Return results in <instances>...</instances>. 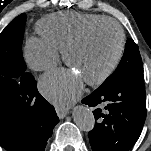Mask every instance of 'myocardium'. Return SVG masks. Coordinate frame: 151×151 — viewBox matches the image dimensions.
Wrapping results in <instances>:
<instances>
[{
    "label": "myocardium",
    "instance_id": "obj_1",
    "mask_svg": "<svg viewBox=\"0 0 151 151\" xmlns=\"http://www.w3.org/2000/svg\"><path fill=\"white\" fill-rule=\"evenodd\" d=\"M103 25H112L116 29L118 34V49L114 60L108 66V68L99 76L86 81L87 84L93 86L105 82L115 72V70L117 69L123 58L124 50H125V33L120 23L108 17L93 22L90 25H88L86 28H84L79 34L73 37L70 41H68L62 49L63 60L67 65H69L70 51L81 45L93 30Z\"/></svg>",
    "mask_w": 151,
    "mask_h": 151
}]
</instances>
